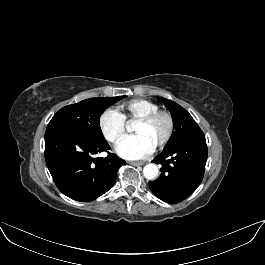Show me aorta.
<instances>
[{
    "mask_svg": "<svg viewBox=\"0 0 265 265\" xmlns=\"http://www.w3.org/2000/svg\"><path fill=\"white\" fill-rule=\"evenodd\" d=\"M129 130V126H127ZM158 167L155 164H148L143 169L144 177L148 180H153L158 176Z\"/></svg>",
    "mask_w": 265,
    "mask_h": 265,
    "instance_id": "762f6f07",
    "label": "aorta"
}]
</instances>
